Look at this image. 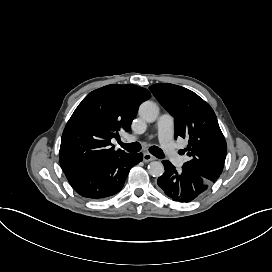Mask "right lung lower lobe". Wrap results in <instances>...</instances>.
Returning a JSON list of instances; mask_svg holds the SVG:
<instances>
[{
  "label": "right lung lower lobe",
  "mask_w": 272,
  "mask_h": 272,
  "mask_svg": "<svg viewBox=\"0 0 272 272\" xmlns=\"http://www.w3.org/2000/svg\"><path fill=\"white\" fill-rule=\"evenodd\" d=\"M142 153H123L111 160L91 164L66 173L73 189L88 199H104L118 193L130 169L142 161Z\"/></svg>",
  "instance_id": "right-lung-lower-lobe-1"
}]
</instances>
